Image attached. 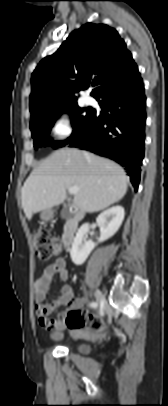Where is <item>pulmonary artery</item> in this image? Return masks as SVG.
I'll return each instance as SVG.
<instances>
[{"mask_svg":"<svg viewBox=\"0 0 168 406\" xmlns=\"http://www.w3.org/2000/svg\"><path fill=\"white\" fill-rule=\"evenodd\" d=\"M93 102H94V99L91 97V96H85V103L87 104V105H92L93 104Z\"/></svg>","mask_w":168,"mask_h":406,"instance_id":"1","label":"pulmonary artery"}]
</instances>
